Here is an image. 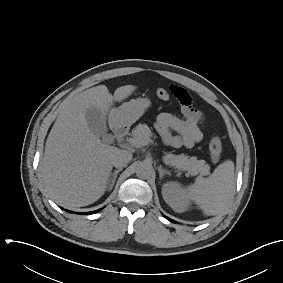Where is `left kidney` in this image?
Returning <instances> with one entry per match:
<instances>
[{
	"mask_svg": "<svg viewBox=\"0 0 283 283\" xmlns=\"http://www.w3.org/2000/svg\"><path fill=\"white\" fill-rule=\"evenodd\" d=\"M162 195L165 202L178 213L188 210L190 203L185 192L178 182H167L162 187Z\"/></svg>",
	"mask_w": 283,
	"mask_h": 283,
	"instance_id": "left-kidney-1",
	"label": "left kidney"
}]
</instances>
